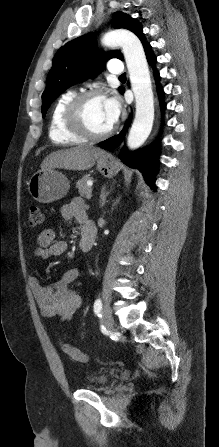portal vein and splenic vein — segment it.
Returning <instances> with one entry per match:
<instances>
[{"label": "portal vein and splenic vein", "mask_w": 219, "mask_h": 447, "mask_svg": "<svg viewBox=\"0 0 219 447\" xmlns=\"http://www.w3.org/2000/svg\"><path fill=\"white\" fill-rule=\"evenodd\" d=\"M87 185L92 186L93 185L92 181H88ZM91 197H92L91 193L87 194V196H86L87 199H90Z\"/></svg>", "instance_id": "portal-vein-and-splenic-vein-1"}]
</instances>
